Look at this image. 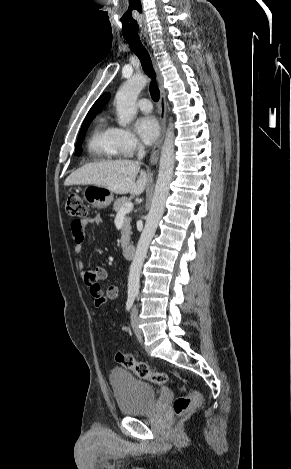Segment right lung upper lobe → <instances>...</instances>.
I'll list each match as a JSON object with an SVG mask.
<instances>
[{
    "label": "right lung upper lobe",
    "mask_w": 291,
    "mask_h": 469,
    "mask_svg": "<svg viewBox=\"0 0 291 469\" xmlns=\"http://www.w3.org/2000/svg\"><path fill=\"white\" fill-rule=\"evenodd\" d=\"M109 98V93H104L102 96H100L88 112L86 118L94 117L95 114L98 113V111L108 102Z\"/></svg>",
    "instance_id": "cb5924a9"
}]
</instances>
